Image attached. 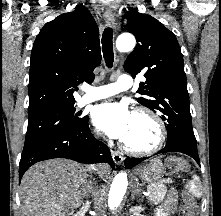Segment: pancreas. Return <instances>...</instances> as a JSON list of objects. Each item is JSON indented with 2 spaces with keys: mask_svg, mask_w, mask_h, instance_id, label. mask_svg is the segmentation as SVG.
<instances>
[{
  "mask_svg": "<svg viewBox=\"0 0 221 216\" xmlns=\"http://www.w3.org/2000/svg\"><path fill=\"white\" fill-rule=\"evenodd\" d=\"M147 189L150 192L148 199L155 204L161 202L167 192V187L164 184L149 185Z\"/></svg>",
  "mask_w": 221,
  "mask_h": 216,
  "instance_id": "1",
  "label": "pancreas"
}]
</instances>
